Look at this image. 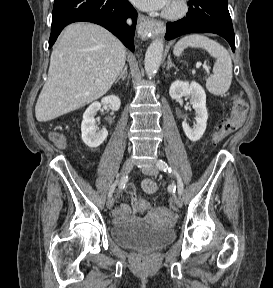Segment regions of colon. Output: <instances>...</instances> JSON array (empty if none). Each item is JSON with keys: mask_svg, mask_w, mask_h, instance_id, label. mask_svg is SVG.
<instances>
[{"mask_svg": "<svg viewBox=\"0 0 273 288\" xmlns=\"http://www.w3.org/2000/svg\"><path fill=\"white\" fill-rule=\"evenodd\" d=\"M248 111V104L241 95H235L232 100V109L229 117H227L219 126L217 131L212 137V143L214 145L223 141L226 137L231 135L243 124ZM51 139L59 146L65 144V138L63 135L52 132L50 134ZM149 202L144 199L136 201V208L139 212H145L149 209Z\"/></svg>", "mask_w": 273, "mask_h": 288, "instance_id": "5ec220e1", "label": "colon"}]
</instances>
